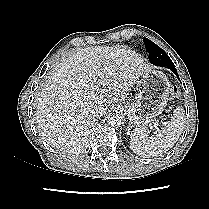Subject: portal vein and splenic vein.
<instances>
[{
    "instance_id": "portal-vein-and-splenic-vein-1",
    "label": "portal vein and splenic vein",
    "mask_w": 209,
    "mask_h": 209,
    "mask_svg": "<svg viewBox=\"0 0 209 209\" xmlns=\"http://www.w3.org/2000/svg\"><path fill=\"white\" fill-rule=\"evenodd\" d=\"M162 124H166V122L163 121ZM154 127H155L156 131L159 132L158 123L155 122Z\"/></svg>"
}]
</instances>
